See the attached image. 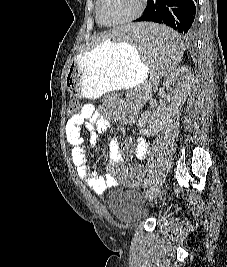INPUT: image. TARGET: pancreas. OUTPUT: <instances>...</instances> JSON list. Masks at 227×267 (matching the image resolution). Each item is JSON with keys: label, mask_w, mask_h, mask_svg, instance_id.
<instances>
[{"label": "pancreas", "mask_w": 227, "mask_h": 267, "mask_svg": "<svg viewBox=\"0 0 227 267\" xmlns=\"http://www.w3.org/2000/svg\"><path fill=\"white\" fill-rule=\"evenodd\" d=\"M140 89H142L143 91H145L148 94L151 92V86L147 82L143 83V85H142V87H140Z\"/></svg>", "instance_id": "cf45deb5"}]
</instances>
